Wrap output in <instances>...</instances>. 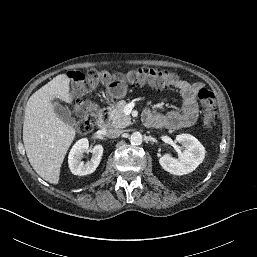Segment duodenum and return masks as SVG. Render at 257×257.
<instances>
[{
  "label": "duodenum",
  "mask_w": 257,
  "mask_h": 257,
  "mask_svg": "<svg viewBox=\"0 0 257 257\" xmlns=\"http://www.w3.org/2000/svg\"><path fill=\"white\" fill-rule=\"evenodd\" d=\"M109 113H110L109 107H105L100 111V114L98 117L99 128L104 129L109 125V121H110Z\"/></svg>",
  "instance_id": "410a0bca"
}]
</instances>
